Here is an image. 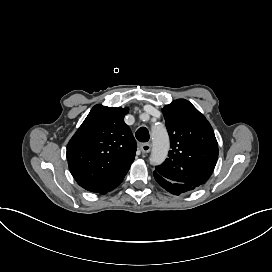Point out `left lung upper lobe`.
Wrapping results in <instances>:
<instances>
[{
    "instance_id": "1",
    "label": "left lung upper lobe",
    "mask_w": 272,
    "mask_h": 272,
    "mask_svg": "<svg viewBox=\"0 0 272 272\" xmlns=\"http://www.w3.org/2000/svg\"><path fill=\"white\" fill-rule=\"evenodd\" d=\"M162 111L172 150L156 172L193 187L204 184L218 159V144L210 123L185 99L173 101Z\"/></svg>"
}]
</instances>
